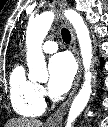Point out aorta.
<instances>
[{"mask_svg": "<svg viewBox=\"0 0 108 127\" xmlns=\"http://www.w3.org/2000/svg\"><path fill=\"white\" fill-rule=\"evenodd\" d=\"M64 16L75 29L85 69L84 83L72 102L66 121V127H71L87 105L92 92V73L90 72L92 64V42L89 29L78 12L72 9L65 10ZM54 17L55 15L52 11H46L36 18L31 19L28 23L26 30L27 65L29 68V79L32 81H45L48 79L46 62L42 52V43L54 21Z\"/></svg>", "mask_w": 108, "mask_h": 127, "instance_id": "obj_1", "label": "aorta"}]
</instances>
